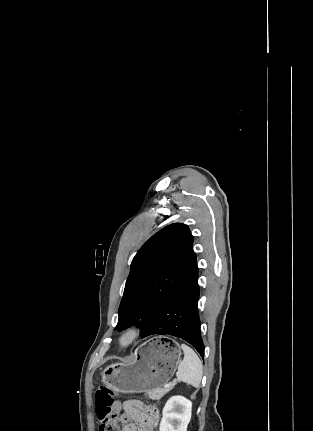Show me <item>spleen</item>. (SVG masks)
Returning <instances> with one entry per match:
<instances>
[{
	"label": "spleen",
	"mask_w": 313,
	"mask_h": 431,
	"mask_svg": "<svg viewBox=\"0 0 313 431\" xmlns=\"http://www.w3.org/2000/svg\"><path fill=\"white\" fill-rule=\"evenodd\" d=\"M184 358L178 366L177 380L199 388L203 375L202 362L197 354L186 344H181Z\"/></svg>",
	"instance_id": "obj_1"
}]
</instances>
